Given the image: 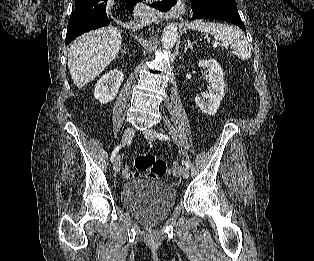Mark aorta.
I'll list each match as a JSON object with an SVG mask.
<instances>
[{
  "label": "aorta",
  "instance_id": "aorta-1",
  "mask_svg": "<svg viewBox=\"0 0 314 261\" xmlns=\"http://www.w3.org/2000/svg\"><path fill=\"white\" fill-rule=\"evenodd\" d=\"M178 30L175 23L168 24L162 33L161 41L165 49H171L177 40Z\"/></svg>",
  "mask_w": 314,
  "mask_h": 261
}]
</instances>
